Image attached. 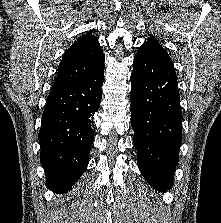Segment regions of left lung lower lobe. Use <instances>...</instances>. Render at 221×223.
Segmentation results:
<instances>
[{"instance_id":"1","label":"left lung lower lobe","mask_w":221,"mask_h":223,"mask_svg":"<svg viewBox=\"0 0 221 223\" xmlns=\"http://www.w3.org/2000/svg\"><path fill=\"white\" fill-rule=\"evenodd\" d=\"M131 73V125L138 167L158 191L173 186L182 141V113L177 78L168 53L141 46Z\"/></svg>"}]
</instances>
